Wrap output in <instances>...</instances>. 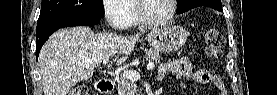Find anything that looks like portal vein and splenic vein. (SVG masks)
Segmentation results:
<instances>
[{
    "instance_id": "obj_1",
    "label": "portal vein and splenic vein",
    "mask_w": 277,
    "mask_h": 95,
    "mask_svg": "<svg viewBox=\"0 0 277 95\" xmlns=\"http://www.w3.org/2000/svg\"><path fill=\"white\" fill-rule=\"evenodd\" d=\"M108 60H109V58L103 59V61H102L103 64H107V63H108ZM154 67H155V65H154V63H152V62L148 63V65H147V69H148V70H153ZM122 76L126 77V78L129 79V80H133V81H134V80L140 79V74H139V72L134 71V70H126V71L123 72V75H122Z\"/></svg>"
}]
</instances>
